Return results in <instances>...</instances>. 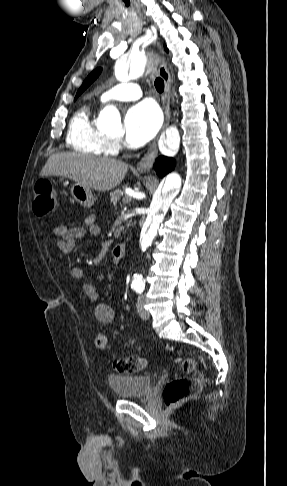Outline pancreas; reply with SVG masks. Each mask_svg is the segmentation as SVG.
I'll return each instance as SVG.
<instances>
[{
	"mask_svg": "<svg viewBox=\"0 0 287 486\" xmlns=\"http://www.w3.org/2000/svg\"><path fill=\"white\" fill-rule=\"evenodd\" d=\"M123 195V192L121 190H115L114 192L110 193V199L113 202V204H117V202L120 200L121 196Z\"/></svg>",
	"mask_w": 287,
	"mask_h": 486,
	"instance_id": "cf45deb5",
	"label": "pancreas"
}]
</instances>
